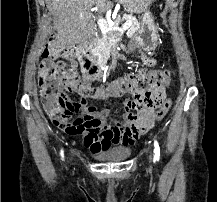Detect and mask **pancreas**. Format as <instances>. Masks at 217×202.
<instances>
[{
  "label": "pancreas",
  "instance_id": "cf45deb5",
  "mask_svg": "<svg viewBox=\"0 0 217 202\" xmlns=\"http://www.w3.org/2000/svg\"><path fill=\"white\" fill-rule=\"evenodd\" d=\"M129 20H131L133 24L130 26L127 36L128 38H132L133 34L139 30L140 26L137 20H135V17H129ZM112 28H115V25H112ZM102 42L104 46L99 48V50H101L100 56L103 58V60H107L108 54H110L112 50L115 52L116 46H118L119 42H121V34L120 32H117V30H110V32H107V34H103Z\"/></svg>",
  "mask_w": 217,
  "mask_h": 202
}]
</instances>
